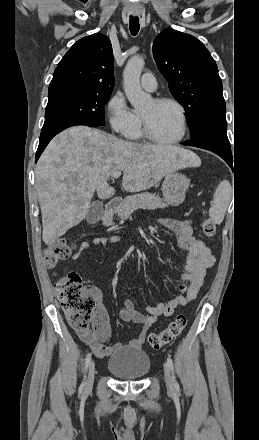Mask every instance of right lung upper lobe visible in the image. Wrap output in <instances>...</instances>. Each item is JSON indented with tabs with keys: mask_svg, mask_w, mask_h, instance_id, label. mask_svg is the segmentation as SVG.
Returning <instances> with one entry per match:
<instances>
[{
	"mask_svg": "<svg viewBox=\"0 0 259 440\" xmlns=\"http://www.w3.org/2000/svg\"><path fill=\"white\" fill-rule=\"evenodd\" d=\"M113 60L105 35L95 33L78 40L58 63L48 95L67 90L112 92Z\"/></svg>",
	"mask_w": 259,
	"mask_h": 440,
	"instance_id": "1",
	"label": "right lung upper lobe"
}]
</instances>
